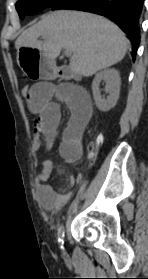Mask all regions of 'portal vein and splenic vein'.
Here are the masks:
<instances>
[{
    "instance_id": "portal-vein-and-splenic-vein-1",
    "label": "portal vein and splenic vein",
    "mask_w": 148,
    "mask_h": 279,
    "mask_svg": "<svg viewBox=\"0 0 148 279\" xmlns=\"http://www.w3.org/2000/svg\"><path fill=\"white\" fill-rule=\"evenodd\" d=\"M72 53H73L72 49H68V48H67V49L65 50V55L68 56V57H71Z\"/></svg>"
}]
</instances>
